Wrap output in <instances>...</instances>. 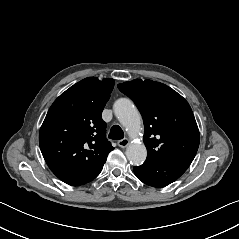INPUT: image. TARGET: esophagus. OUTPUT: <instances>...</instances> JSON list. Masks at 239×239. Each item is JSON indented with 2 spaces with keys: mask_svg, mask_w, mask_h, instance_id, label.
I'll list each match as a JSON object with an SVG mask.
<instances>
[{
  "mask_svg": "<svg viewBox=\"0 0 239 239\" xmlns=\"http://www.w3.org/2000/svg\"><path fill=\"white\" fill-rule=\"evenodd\" d=\"M129 145V139L124 138L118 141V146L121 148H125Z\"/></svg>",
  "mask_w": 239,
  "mask_h": 239,
  "instance_id": "esophagus-1",
  "label": "esophagus"
}]
</instances>
